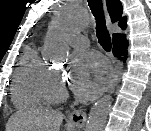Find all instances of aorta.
<instances>
[{"mask_svg":"<svg viewBox=\"0 0 151 131\" xmlns=\"http://www.w3.org/2000/svg\"><path fill=\"white\" fill-rule=\"evenodd\" d=\"M82 20L72 6L61 9L54 28L49 32L45 42L44 55L52 61H60L67 57L68 49L63 36L67 30H79ZM112 104L110 95L98 99L91 107L85 131H103Z\"/></svg>","mask_w":151,"mask_h":131,"instance_id":"obj_1","label":"aorta"}]
</instances>
